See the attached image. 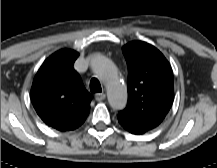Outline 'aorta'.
<instances>
[{
  "label": "aorta",
  "mask_w": 217,
  "mask_h": 168,
  "mask_svg": "<svg viewBox=\"0 0 217 168\" xmlns=\"http://www.w3.org/2000/svg\"><path fill=\"white\" fill-rule=\"evenodd\" d=\"M91 67L106 86L110 106L116 110L123 109L127 104V89L112 61L103 55H96Z\"/></svg>",
  "instance_id": "obj_1"
}]
</instances>
